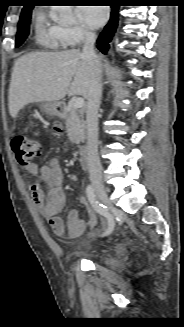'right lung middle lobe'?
<instances>
[{
  "label": "right lung middle lobe",
  "instance_id": "right-lung-middle-lobe-1",
  "mask_svg": "<svg viewBox=\"0 0 184 327\" xmlns=\"http://www.w3.org/2000/svg\"><path fill=\"white\" fill-rule=\"evenodd\" d=\"M32 9L22 12L17 27V38L15 47H19L27 38L30 32V19Z\"/></svg>",
  "mask_w": 184,
  "mask_h": 327
}]
</instances>
